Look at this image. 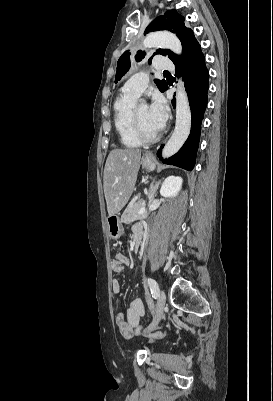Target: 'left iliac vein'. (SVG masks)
<instances>
[{"label": "left iliac vein", "instance_id": "1", "mask_svg": "<svg viewBox=\"0 0 273 401\" xmlns=\"http://www.w3.org/2000/svg\"><path fill=\"white\" fill-rule=\"evenodd\" d=\"M165 303H166L165 292L162 289H160L159 290V297H158V301H157V308H156V313H155V316H154V320L147 327L146 332H151L157 327L159 321L161 320V318H162V316L164 314Z\"/></svg>", "mask_w": 273, "mask_h": 401}]
</instances>
